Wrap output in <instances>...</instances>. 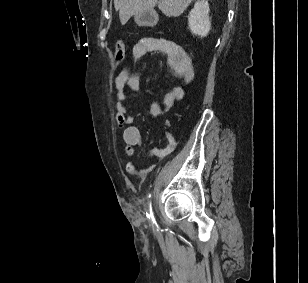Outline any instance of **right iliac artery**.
<instances>
[{"label": "right iliac artery", "mask_w": 308, "mask_h": 283, "mask_svg": "<svg viewBox=\"0 0 308 283\" xmlns=\"http://www.w3.org/2000/svg\"><path fill=\"white\" fill-rule=\"evenodd\" d=\"M146 216L151 221V223L155 224V219L152 212V204H151V194H149L147 202H146Z\"/></svg>", "instance_id": "right-iliac-artery-1"}]
</instances>
